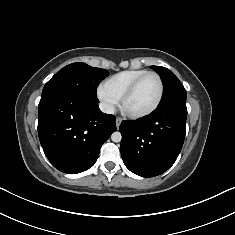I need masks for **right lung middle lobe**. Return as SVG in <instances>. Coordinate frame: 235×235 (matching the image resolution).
<instances>
[{
    "instance_id": "1",
    "label": "right lung middle lobe",
    "mask_w": 235,
    "mask_h": 235,
    "mask_svg": "<svg viewBox=\"0 0 235 235\" xmlns=\"http://www.w3.org/2000/svg\"><path fill=\"white\" fill-rule=\"evenodd\" d=\"M109 72L85 63H72L58 71L44 86L42 96L70 92L96 99V88Z\"/></svg>"
}]
</instances>
